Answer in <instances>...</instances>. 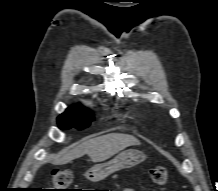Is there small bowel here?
Here are the masks:
<instances>
[{
  "label": "small bowel",
  "mask_w": 218,
  "mask_h": 191,
  "mask_svg": "<svg viewBox=\"0 0 218 191\" xmlns=\"http://www.w3.org/2000/svg\"><path fill=\"white\" fill-rule=\"evenodd\" d=\"M123 191H134L133 189H124Z\"/></svg>",
  "instance_id": "small-bowel-1"
}]
</instances>
